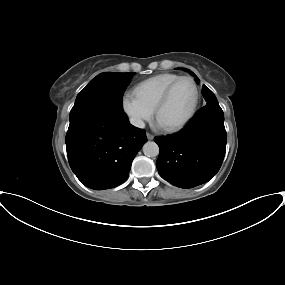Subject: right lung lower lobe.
<instances>
[{
	"mask_svg": "<svg viewBox=\"0 0 285 285\" xmlns=\"http://www.w3.org/2000/svg\"><path fill=\"white\" fill-rule=\"evenodd\" d=\"M146 141L145 131L131 125L125 113L94 108L70 120L66 150L81 183L103 190L128 178L132 161Z\"/></svg>",
	"mask_w": 285,
	"mask_h": 285,
	"instance_id": "1",
	"label": "right lung lower lobe"
}]
</instances>
